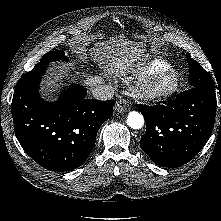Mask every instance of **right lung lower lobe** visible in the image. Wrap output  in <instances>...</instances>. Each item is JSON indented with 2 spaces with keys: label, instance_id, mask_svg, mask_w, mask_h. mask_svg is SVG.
<instances>
[{
  "label": "right lung lower lobe",
  "instance_id": "obj_1",
  "mask_svg": "<svg viewBox=\"0 0 221 221\" xmlns=\"http://www.w3.org/2000/svg\"><path fill=\"white\" fill-rule=\"evenodd\" d=\"M46 67L33 68L19 79L11 107L14 130L24 151L39 165L69 171L86 161L116 100L88 99L85 88L72 85L59 100L46 102L38 93Z\"/></svg>",
  "mask_w": 221,
  "mask_h": 221
}]
</instances>
